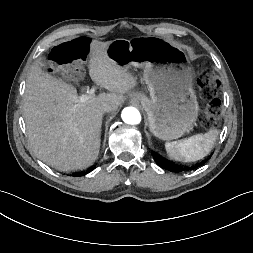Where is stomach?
Here are the masks:
<instances>
[{
	"instance_id": "1",
	"label": "stomach",
	"mask_w": 253,
	"mask_h": 253,
	"mask_svg": "<svg viewBox=\"0 0 253 253\" xmlns=\"http://www.w3.org/2000/svg\"><path fill=\"white\" fill-rule=\"evenodd\" d=\"M108 56L123 67H141L150 96L135 92L131 98L146 111L151 133L161 140L178 139L193 129L199 106L192 88L193 70L178 48L161 38L116 39Z\"/></svg>"
}]
</instances>
